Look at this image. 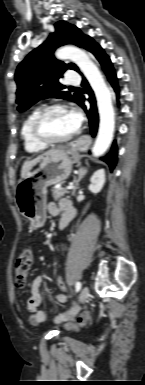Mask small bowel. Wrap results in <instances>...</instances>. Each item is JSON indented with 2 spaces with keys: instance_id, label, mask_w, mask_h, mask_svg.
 Here are the masks:
<instances>
[{
  "instance_id": "1",
  "label": "small bowel",
  "mask_w": 145,
  "mask_h": 385,
  "mask_svg": "<svg viewBox=\"0 0 145 385\" xmlns=\"http://www.w3.org/2000/svg\"><path fill=\"white\" fill-rule=\"evenodd\" d=\"M72 211V217H74L75 209L68 199H62L59 202H51L48 205V213L52 216H58L65 214L66 211ZM44 282V276L38 275L30 287V297L27 300V309L30 312L29 321L31 324L37 325L48 319V311L42 308L41 287ZM58 285L62 290H66V285L62 280H58ZM55 299L60 303L67 301V295L65 293H58ZM92 313L90 311H84L79 314L78 308H72L70 311L59 314L55 318V323L63 324L66 329H76L78 327L85 326L90 320Z\"/></svg>"
}]
</instances>
